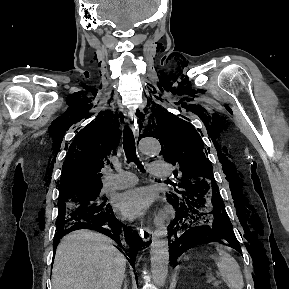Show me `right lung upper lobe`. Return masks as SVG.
I'll return each instance as SVG.
<instances>
[{
	"instance_id": "right-lung-upper-lobe-1",
	"label": "right lung upper lobe",
	"mask_w": 289,
	"mask_h": 289,
	"mask_svg": "<svg viewBox=\"0 0 289 289\" xmlns=\"http://www.w3.org/2000/svg\"><path fill=\"white\" fill-rule=\"evenodd\" d=\"M110 114L108 111L99 114L70 145L57 185L60 196L102 188L100 171L109 164L108 157L115 153L121 133L116 126L119 121Z\"/></svg>"
}]
</instances>
